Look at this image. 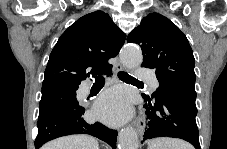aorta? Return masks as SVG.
Wrapping results in <instances>:
<instances>
[{
	"mask_svg": "<svg viewBox=\"0 0 227 149\" xmlns=\"http://www.w3.org/2000/svg\"><path fill=\"white\" fill-rule=\"evenodd\" d=\"M120 59L127 67H137L142 63V51L139 47L128 45L121 50ZM118 149H138V134L133 127L128 126L121 130Z\"/></svg>",
	"mask_w": 227,
	"mask_h": 149,
	"instance_id": "1",
	"label": "aorta"
}]
</instances>
